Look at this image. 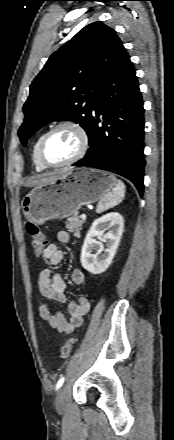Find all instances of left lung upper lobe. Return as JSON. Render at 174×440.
Masks as SVG:
<instances>
[{
	"mask_svg": "<svg viewBox=\"0 0 174 440\" xmlns=\"http://www.w3.org/2000/svg\"><path fill=\"white\" fill-rule=\"evenodd\" d=\"M123 50L112 28L94 22L54 52L30 86L18 132L22 144L57 119L79 123L87 131L93 103Z\"/></svg>",
	"mask_w": 174,
	"mask_h": 440,
	"instance_id": "left-lung-upper-lobe-1",
	"label": "left lung upper lobe"
}]
</instances>
